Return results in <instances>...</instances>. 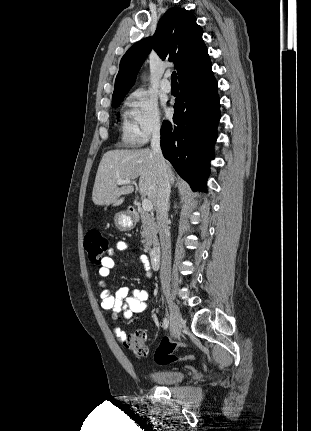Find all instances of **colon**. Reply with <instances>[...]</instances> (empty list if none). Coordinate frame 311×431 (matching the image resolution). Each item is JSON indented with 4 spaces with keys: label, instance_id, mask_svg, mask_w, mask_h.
Returning a JSON list of instances; mask_svg holds the SVG:
<instances>
[{
    "label": "colon",
    "instance_id": "obj_1",
    "mask_svg": "<svg viewBox=\"0 0 311 431\" xmlns=\"http://www.w3.org/2000/svg\"><path fill=\"white\" fill-rule=\"evenodd\" d=\"M85 249L89 260L99 265L109 250V242L99 231L93 230L86 236ZM123 345L127 350L138 356H144L148 353L146 334L142 330H137L126 336ZM179 346L185 345L164 337L155 351V362L159 365H167L176 361H190L194 359L193 355H175L173 352Z\"/></svg>",
    "mask_w": 311,
    "mask_h": 431
}]
</instances>
